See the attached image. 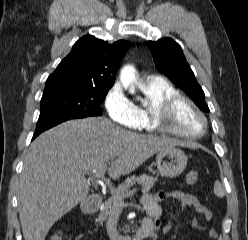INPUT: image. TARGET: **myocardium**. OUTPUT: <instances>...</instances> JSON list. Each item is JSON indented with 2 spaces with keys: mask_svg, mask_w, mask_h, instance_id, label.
<instances>
[{
  "mask_svg": "<svg viewBox=\"0 0 248 240\" xmlns=\"http://www.w3.org/2000/svg\"><path fill=\"white\" fill-rule=\"evenodd\" d=\"M181 102L189 104L194 111L201 117L204 123L203 130L196 134L185 133L171 126V119L175 108ZM152 123L154 127L163 133L171 134L187 139H197L202 137L208 129V120L199 106L188 96L181 93H174L164 98L152 113Z\"/></svg>",
  "mask_w": 248,
  "mask_h": 240,
  "instance_id": "myocardium-1",
  "label": "myocardium"
}]
</instances>
